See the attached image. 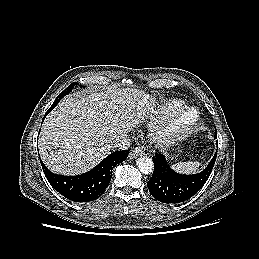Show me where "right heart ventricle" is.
Here are the masks:
<instances>
[{
	"mask_svg": "<svg viewBox=\"0 0 259 259\" xmlns=\"http://www.w3.org/2000/svg\"><path fill=\"white\" fill-rule=\"evenodd\" d=\"M184 102L181 100H169L163 105L164 112H174L175 110L183 107Z\"/></svg>",
	"mask_w": 259,
	"mask_h": 259,
	"instance_id": "obj_1",
	"label": "right heart ventricle"
}]
</instances>
